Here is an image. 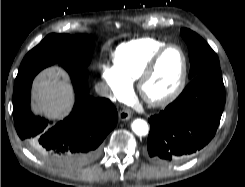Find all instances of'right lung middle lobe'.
Masks as SVG:
<instances>
[{
	"label": "right lung middle lobe",
	"mask_w": 245,
	"mask_h": 187,
	"mask_svg": "<svg viewBox=\"0 0 245 187\" xmlns=\"http://www.w3.org/2000/svg\"><path fill=\"white\" fill-rule=\"evenodd\" d=\"M93 52V37L86 35L49 34L24 57L20 66L34 62H59L87 66Z\"/></svg>",
	"instance_id": "1"
}]
</instances>
